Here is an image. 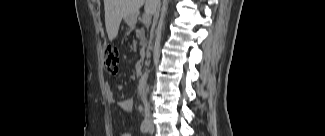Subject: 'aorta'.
<instances>
[{"label": "aorta", "instance_id": "762f6f07", "mask_svg": "<svg viewBox=\"0 0 325 136\" xmlns=\"http://www.w3.org/2000/svg\"><path fill=\"white\" fill-rule=\"evenodd\" d=\"M148 71H146L140 78L139 84H138V94L140 97H143L145 88L147 85V80H148Z\"/></svg>", "mask_w": 325, "mask_h": 136}]
</instances>
